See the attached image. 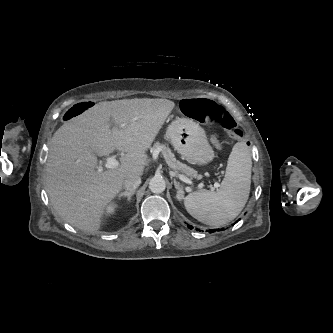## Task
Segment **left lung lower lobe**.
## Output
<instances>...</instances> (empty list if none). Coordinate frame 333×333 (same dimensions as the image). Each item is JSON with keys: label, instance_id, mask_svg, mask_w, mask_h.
<instances>
[{"label": "left lung lower lobe", "instance_id": "1", "mask_svg": "<svg viewBox=\"0 0 333 333\" xmlns=\"http://www.w3.org/2000/svg\"><path fill=\"white\" fill-rule=\"evenodd\" d=\"M237 222H238V221H237ZM187 226H188V228L193 229V227H192L191 225L187 224ZM221 230H223V229H221ZM198 231H201V230L198 229ZM214 231H216V230H215V229H211V230H209L208 232H209V233H212V232H214ZM202 232H203V231H202Z\"/></svg>", "mask_w": 333, "mask_h": 333}]
</instances>
